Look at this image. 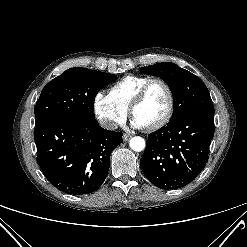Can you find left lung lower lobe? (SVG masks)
I'll use <instances>...</instances> for the list:
<instances>
[{
    "label": "left lung lower lobe",
    "mask_w": 247,
    "mask_h": 247,
    "mask_svg": "<svg viewBox=\"0 0 247 247\" xmlns=\"http://www.w3.org/2000/svg\"><path fill=\"white\" fill-rule=\"evenodd\" d=\"M214 116L189 114L148 136L140 166L155 186L177 189L191 183L208 161Z\"/></svg>",
    "instance_id": "obj_1"
}]
</instances>
